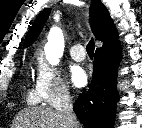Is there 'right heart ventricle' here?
<instances>
[{
  "label": "right heart ventricle",
  "instance_id": "1",
  "mask_svg": "<svg viewBox=\"0 0 142 128\" xmlns=\"http://www.w3.org/2000/svg\"><path fill=\"white\" fill-rule=\"evenodd\" d=\"M27 99L30 103H37L39 101L35 90H29L28 91Z\"/></svg>",
  "mask_w": 142,
  "mask_h": 128
}]
</instances>
